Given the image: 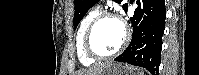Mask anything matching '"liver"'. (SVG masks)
Segmentation results:
<instances>
[{
  "mask_svg": "<svg viewBox=\"0 0 199 75\" xmlns=\"http://www.w3.org/2000/svg\"><path fill=\"white\" fill-rule=\"evenodd\" d=\"M108 65L95 66L87 70H80L76 75H100Z\"/></svg>",
  "mask_w": 199,
  "mask_h": 75,
  "instance_id": "6515ba94",
  "label": "liver"
}]
</instances>
